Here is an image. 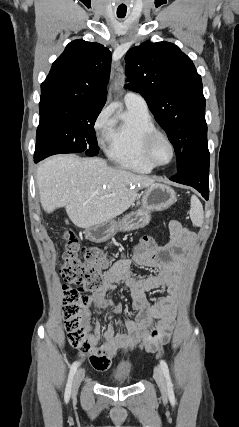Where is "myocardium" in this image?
Listing matches in <instances>:
<instances>
[{"label":"myocardium","mask_w":239,"mask_h":427,"mask_svg":"<svg viewBox=\"0 0 239 427\" xmlns=\"http://www.w3.org/2000/svg\"><path fill=\"white\" fill-rule=\"evenodd\" d=\"M159 139L165 140L168 143L171 150L170 159L165 163H158L157 161L154 160L152 155L153 147ZM143 153L147 162L150 163L153 167H163V166L169 165L174 160L176 155V148H175L174 142L169 137V135H167L162 131L155 130L146 136L144 141V146H143Z\"/></svg>","instance_id":"f54148a6"}]
</instances>
